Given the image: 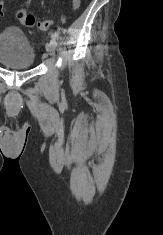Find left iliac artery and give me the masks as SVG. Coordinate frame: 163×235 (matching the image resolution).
<instances>
[{"label":"left iliac artery","mask_w":163,"mask_h":235,"mask_svg":"<svg viewBox=\"0 0 163 235\" xmlns=\"http://www.w3.org/2000/svg\"><path fill=\"white\" fill-rule=\"evenodd\" d=\"M55 45H57V42H56V38H55V36L53 35L52 36V40H51Z\"/></svg>","instance_id":"44dca946"}]
</instances>
